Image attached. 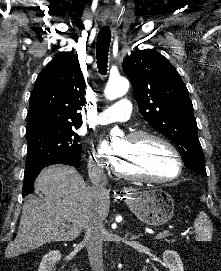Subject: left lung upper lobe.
Listing matches in <instances>:
<instances>
[{
    "mask_svg": "<svg viewBox=\"0 0 221 271\" xmlns=\"http://www.w3.org/2000/svg\"><path fill=\"white\" fill-rule=\"evenodd\" d=\"M123 71L143 118L178 147L187 168L206 175L193 105L177 70L160 53L145 49L127 56Z\"/></svg>",
    "mask_w": 221,
    "mask_h": 271,
    "instance_id": "5c2ea615",
    "label": "left lung upper lobe"
}]
</instances>
